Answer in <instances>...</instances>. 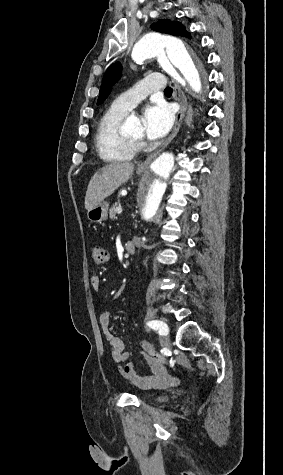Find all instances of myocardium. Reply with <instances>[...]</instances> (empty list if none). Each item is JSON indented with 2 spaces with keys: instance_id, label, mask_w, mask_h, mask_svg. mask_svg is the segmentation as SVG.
Here are the masks:
<instances>
[{
  "instance_id": "obj_1",
  "label": "myocardium",
  "mask_w": 283,
  "mask_h": 475,
  "mask_svg": "<svg viewBox=\"0 0 283 475\" xmlns=\"http://www.w3.org/2000/svg\"><path fill=\"white\" fill-rule=\"evenodd\" d=\"M125 139L128 141V147L132 150V151H137L139 149V147L141 146L142 144V141L143 139L142 138H139V139H132V138H128L125 136ZM119 149L122 148L121 145L118 146Z\"/></svg>"
}]
</instances>
